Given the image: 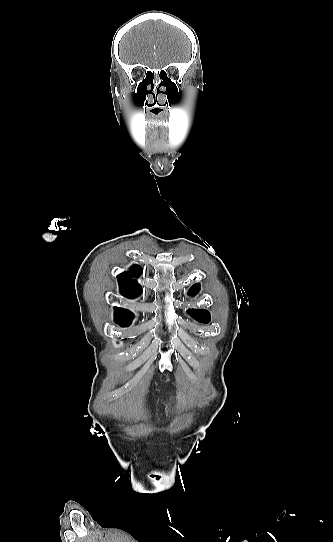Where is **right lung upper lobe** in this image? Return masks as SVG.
<instances>
[{"mask_svg": "<svg viewBox=\"0 0 333 542\" xmlns=\"http://www.w3.org/2000/svg\"><path fill=\"white\" fill-rule=\"evenodd\" d=\"M141 272V267L135 265L132 267L129 273H122L117 276L121 293L124 296L134 298L140 294L141 286L135 280H131V277H137L141 274ZM115 310V318L132 319V314L130 311L118 307H116Z\"/></svg>", "mask_w": 333, "mask_h": 542, "instance_id": "right-lung-upper-lobe-1", "label": "right lung upper lobe"}]
</instances>
